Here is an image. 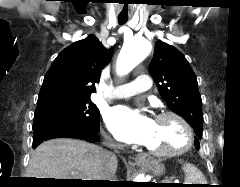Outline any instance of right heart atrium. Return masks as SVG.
Returning <instances> with one entry per match:
<instances>
[{
  "instance_id": "d8ad5b80",
  "label": "right heart atrium",
  "mask_w": 240,
  "mask_h": 187,
  "mask_svg": "<svg viewBox=\"0 0 240 187\" xmlns=\"http://www.w3.org/2000/svg\"><path fill=\"white\" fill-rule=\"evenodd\" d=\"M106 140L109 143H114L113 139L110 136H106Z\"/></svg>"
}]
</instances>
